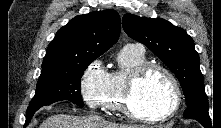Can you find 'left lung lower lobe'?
<instances>
[{"mask_svg":"<svg viewBox=\"0 0 221 128\" xmlns=\"http://www.w3.org/2000/svg\"><path fill=\"white\" fill-rule=\"evenodd\" d=\"M195 120H197L204 128H212L210 120H200V119H195Z\"/></svg>","mask_w":221,"mask_h":128,"instance_id":"left-lung-lower-lobe-1","label":"left lung lower lobe"}]
</instances>
